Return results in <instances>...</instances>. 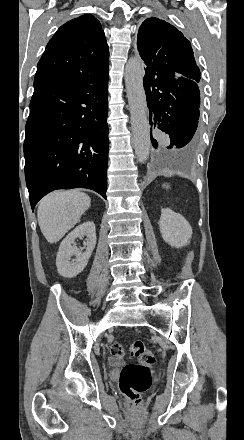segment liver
Returning <instances> with one entry per match:
<instances>
[{
	"mask_svg": "<svg viewBox=\"0 0 244 440\" xmlns=\"http://www.w3.org/2000/svg\"><path fill=\"white\" fill-rule=\"evenodd\" d=\"M91 206L87 194L69 190V192H51L42 198L37 218L40 230L50 244L59 242L75 224L79 222L82 214Z\"/></svg>",
	"mask_w": 244,
	"mask_h": 440,
	"instance_id": "obj_1",
	"label": "liver"
}]
</instances>
